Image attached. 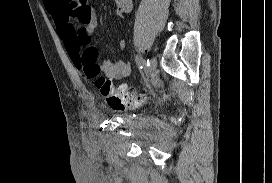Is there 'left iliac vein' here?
I'll return each mask as SVG.
<instances>
[{
  "mask_svg": "<svg viewBox=\"0 0 272 183\" xmlns=\"http://www.w3.org/2000/svg\"><path fill=\"white\" fill-rule=\"evenodd\" d=\"M147 71L149 72V74L151 76V80H154L155 77L157 76V60L155 57H152L150 59V65H149Z\"/></svg>",
  "mask_w": 272,
  "mask_h": 183,
  "instance_id": "obj_1",
  "label": "left iliac vein"
}]
</instances>
